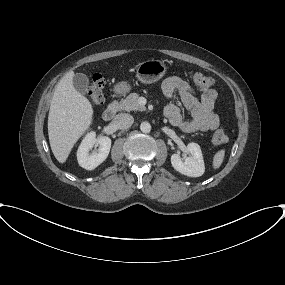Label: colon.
<instances>
[{
	"label": "colon",
	"mask_w": 285,
	"mask_h": 285,
	"mask_svg": "<svg viewBox=\"0 0 285 285\" xmlns=\"http://www.w3.org/2000/svg\"><path fill=\"white\" fill-rule=\"evenodd\" d=\"M191 80L200 89H209L214 85V79L202 73H193ZM104 78L100 74H95L90 82L88 98L93 105H101L104 101L103 95ZM228 141V137L223 130H218L213 134L212 143L215 146L223 145Z\"/></svg>",
	"instance_id": "obj_1"
}]
</instances>
